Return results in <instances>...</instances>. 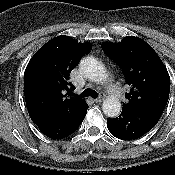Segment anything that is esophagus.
I'll return each instance as SVG.
<instances>
[{"mask_svg":"<svg viewBox=\"0 0 175 175\" xmlns=\"http://www.w3.org/2000/svg\"><path fill=\"white\" fill-rule=\"evenodd\" d=\"M105 97V94L103 92H99L98 98H96L94 101L95 102H101Z\"/></svg>","mask_w":175,"mask_h":175,"instance_id":"obj_1","label":"esophagus"}]
</instances>
